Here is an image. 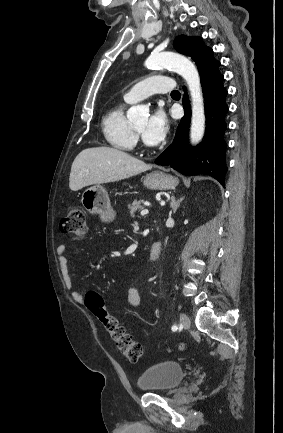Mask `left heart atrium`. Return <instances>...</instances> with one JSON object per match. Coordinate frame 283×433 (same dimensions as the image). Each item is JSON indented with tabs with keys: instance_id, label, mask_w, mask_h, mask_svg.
Instances as JSON below:
<instances>
[{
	"instance_id": "39dd6f15",
	"label": "left heart atrium",
	"mask_w": 283,
	"mask_h": 433,
	"mask_svg": "<svg viewBox=\"0 0 283 433\" xmlns=\"http://www.w3.org/2000/svg\"><path fill=\"white\" fill-rule=\"evenodd\" d=\"M169 131V123L161 107H157L149 117L142 131V139L149 150L157 149L165 140Z\"/></svg>"
}]
</instances>
